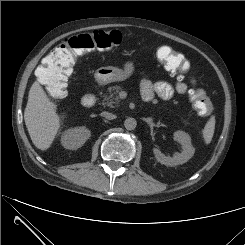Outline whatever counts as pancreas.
<instances>
[{
    "mask_svg": "<svg viewBox=\"0 0 245 245\" xmlns=\"http://www.w3.org/2000/svg\"><path fill=\"white\" fill-rule=\"evenodd\" d=\"M120 86H112L108 88V93L103 95L102 105L113 107V104H117L119 102V97L117 96L120 92Z\"/></svg>",
    "mask_w": 245,
    "mask_h": 245,
    "instance_id": "pancreas-1",
    "label": "pancreas"
}]
</instances>
